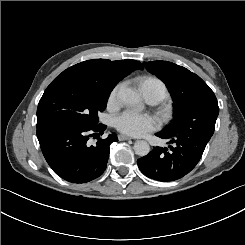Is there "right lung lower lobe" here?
<instances>
[{"label":"right lung lower lobe","instance_id":"right-lung-lower-lobe-1","mask_svg":"<svg viewBox=\"0 0 245 245\" xmlns=\"http://www.w3.org/2000/svg\"><path fill=\"white\" fill-rule=\"evenodd\" d=\"M106 126L90 127L73 124L46 125L37 128L42 153L52 170L71 183H87L98 178L106 169L110 145L118 141L115 133L98 138L95 146L87 141L93 132L103 134Z\"/></svg>","mask_w":245,"mask_h":245}]
</instances>
